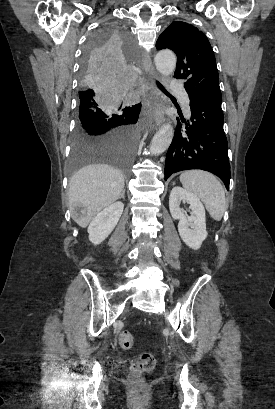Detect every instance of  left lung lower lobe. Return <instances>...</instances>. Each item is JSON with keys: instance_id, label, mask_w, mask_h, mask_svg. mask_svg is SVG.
Returning a JSON list of instances; mask_svg holds the SVG:
<instances>
[{"instance_id": "0a47b994", "label": "left lung lower lobe", "mask_w": 275, "mask_h": 409, "mask_svg": "<svg viewBox=\"0 0 275 409\" xmlns=\"http://www.w3.org/2000/svg\"><path fill=\"white\" fill-rule=\"evenodd\" d=\"M189 98L192 124L185 131H175L166 156L165 180L182 170L202 169L217 175L229 190L230 164L221 103L193 95Z\"/></svg>"}]
</instances>
